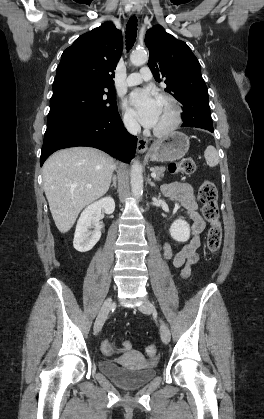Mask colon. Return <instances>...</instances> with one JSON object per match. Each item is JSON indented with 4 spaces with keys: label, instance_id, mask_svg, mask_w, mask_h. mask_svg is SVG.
<instances>
[{
    "label": "colon",
    "instance_id": "1",
    "mask_svg": "<svg viewBox=\"0 0 264 419\" xmlns=\"http://www.w3.org/2000/svg\"><path fill=\"white\" fill-rule=\"evenodd\" d=\"M196 170V163L192 158H184L178 162H172L169 165V171L173 174H192ZM217 189L211 181H204L199 187L198 197L202 204V215L209 223V229L206 237V245L211 253H216L222 242V227L219 221V209L217 204ZM113 344L105 340L102 343V349L109 350ZM125 349L130 347V344L122 345ZM147 355L154 359L157 355V350L154 346L146 348Z\"/></svg>",
    "mask_w": 264,
    "mask_h": 419
}]
</instances>
